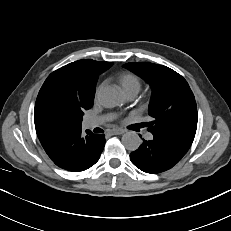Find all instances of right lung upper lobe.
<instances>
[{
  "mask_svg": "<svg viewBox=\"0 0 231 231\" xmlns=\"http://www.w3.org/2000/svg\"><path fill=\"white\" fill-rule=\"evenodd\" d=\"M112 65L113 62L83 59L63 66L48 76L39 91L34 111L35 128L42 146L59 136L81 130V126H57L46 114L44 105L62 99L91 108L98 76Z\"/></svg>",
  "mask_w": 231,
  "mask_h": 231,
  "instance_id": "1",
  "label": "right lung upper lobe"
}]
</instances>
